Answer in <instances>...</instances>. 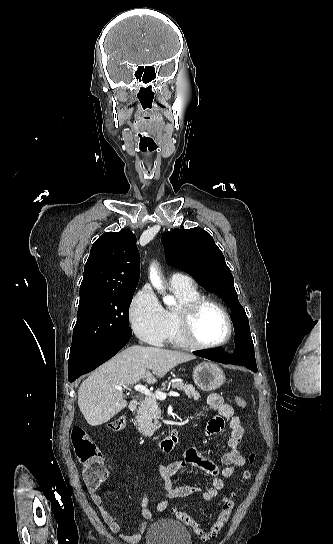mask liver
<instances>
[{"label": "liver", "instance_id": "1", "mask_svg": "<svg viewBox=\"0 0 333 544\" xmlns=\"http://www.w3.org/2000/svg\"><path fill=\"white\" fill-rule=\"evenodd\" d=\"M195 358L157 347H128L82 382L78 389L80 411L89 425H102L127 406L116 386L133 385L141 379L153 384L175 366Z\"/></svg>", "mask_w": 333, "mask_h": 544}]
</instances>
